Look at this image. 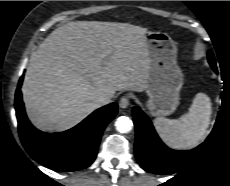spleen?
I'll use <instances>...</instances> for the list:
<instances>
[{
    "mask_svg": "<svg viewBox=\"0 0 230 186\" xmlns=\"http://www.w3.org/2000/svg\"><path fill=\"white\" fill-rule=\"evenodd\" d=\"M211 113L210 98L204 93H198L188 113L176 120L158 117L154 119V125L168 145L177 149H190L205 138Z\"/></svg>",
    "mask_w": 230,
    "mask_h": 186,
    "instance_id": "1",
    "label": "spleen"
}]
</instances>
